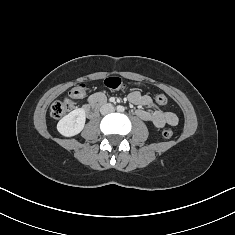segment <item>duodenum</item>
I'll use <instances>...</instances> for the list:
<instances>
[{"label":"duodenum","instance_id":"duodenum-1","mask_svg":"<svg viewBox=\"0 0 235 235\" xmlns=\"http://www.w3.org/2000/svg\"><path fill=\"white\" fill-rule=\"evenodd\" d=\"M102 106L103 103H92L85 108V112L89 118H93Z\"/></svg>","mask_w":235,"mask_h":235}]
</instances>
